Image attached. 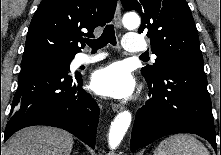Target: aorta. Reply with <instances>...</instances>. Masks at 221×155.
I'll return each mask as SVG.
<instances>
[{
  "instance_id": "obj_1",
  "label": "aorta",
  "mask_w": 221,
  "mask_h": 155,
  "mask_svg": "<svg viewBox=\"0 0 221 155\" xmlns=\"http://www.w3.org/2000/svg\"><path fill=\"white\" fill-rule=\"evenodd\" d=\"M123 24L128 29H136L140 25V18L137 14L130 13L124 16ZM131 113L128 110L120 112L110 126L109 147L115 149L123 139L131 123Z\"/></svg>"
}]
</instances>
